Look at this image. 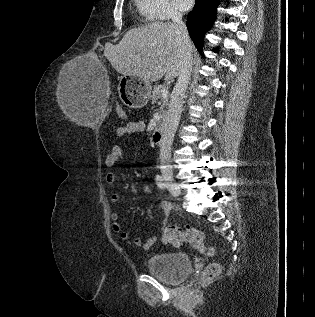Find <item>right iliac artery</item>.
<instances>
[{"mask_svg":"<svg viewBox=\"0 0 315 317\" xmlns=\"http://www.w3.org/2000/svg\"><path fill=\"white\" fill-rule=\"evenodd\" d=\"M155 180H156V184H157V186H158L159 188L165 189L166 185H165V183L163 182V179H162V177H161L160 175H156Z\"/></svg>","mask_w":315,"mask_h":317,"instance_id":"82829eb1","label":"right iliac artery"}]
</instances>
